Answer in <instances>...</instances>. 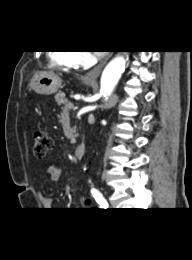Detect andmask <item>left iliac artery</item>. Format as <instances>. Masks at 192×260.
Listing matches in <instances>:
<instances>
[{
	"mask_svg": "<svg viewBox=\"0 0 192 260\" xmlns=\"http://www.w3.org/2000/svg\"><path fill=\"white\" fill-rule=\"evenodd\" d=\"M91 193H92L93 197L95 198V200L97 201V203L102 208H107L108 207V203H107L106 199L104 198V196L102 195V193L100 191H98L97 189L93 188L91 190Z\"/></svg>",
	"mask_w": 192,
	"mask_h": 260,
	"instance_id": "left-iliac-artery-1",
	"label": "left iliac artery"
}]
</instances>
